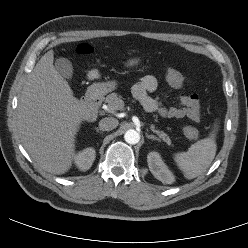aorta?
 <instances>
[{"instance_id":"762f6f07","label":"aorta","mask_w":248,"mask_h":248,"mask_svg":"<svg viewBox=\"0 0 248 248\" xmlns=\"http://www.w3.org/2000/svg\"><path fill=\"white\" fill-rule=\"evenodd\" d=\"M124 139L128 144H137L140 141V134L133 129L126 131Z\"/></svg>"}]
</instances>
